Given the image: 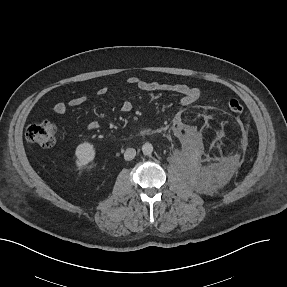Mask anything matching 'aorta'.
<instances>
[{"label":"aorta","instance_id":"aorta-1","mask_svg":"<svg viewBox=\"0 0 287 287\" xmlns=\"http://www.w3.org/2000/svg\"><path fill=\"white\" fill-rule=\"evenodd\" d=\"M142 152L145 154V155H150L152 152H153V146L151 143H145L143 146H142Z\"/></svg>","mask_w":287,"mask_h":287}]
</instances>
